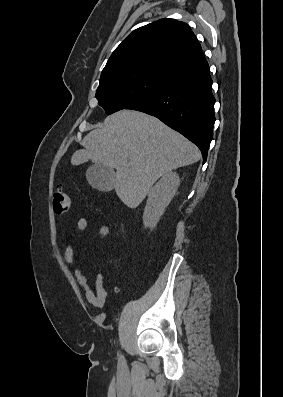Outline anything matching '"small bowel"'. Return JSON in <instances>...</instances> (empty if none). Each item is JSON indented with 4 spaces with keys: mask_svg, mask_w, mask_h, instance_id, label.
Returning <instances> with one entry per match:
<instances>
[{
    "mask_svg": "<svg viewBox=\"0 0 283 397\" xmlns=\"http://www.w3.org/2000/svg\"><path fill=\"white\" fill-rule=\"evenodd\" d=\"M88 228V221L86 218L81 217L77 221V231L79 234L86 231ZM98 234L101 239H105L110 234V229L107 225L101 224L98 228ZM75 249L74 241H70L64 252V260L68 265H71L74 261ZM74 277L80 287L83 289L87 301L96 308H102L105 304L107 291L103 285V275L98 274L96 276L94 286L91 287L86 276L84 275L81 268H75L73 271Z\"/></svg>",
    "mask_w": 283,
    "mask_h": 397,
    "instance_id": "obj_1",
    "label": "small bowel"
}]
</instances>
